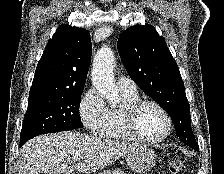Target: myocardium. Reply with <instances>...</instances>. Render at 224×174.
Wrapping results in <instances>:
<instances>
[{"instance_id": "1", "label": "myocardium", "mask_w": 224, "mask_h": 174, "mask_svg": "<svg viewBox=\"0 0 224 174\" xmlns=\"http://www.w3.org/2000/svg\"><path fill=\"white\" fill-rule=\"evenodd\" d=\"M153 106L164 116L167 129L165 133L157 138H149L140 133L137 127V116L144 106ZM122 123L127 133L135 140L145 143H160L166 140L172 132L173 123L169 113L158 102L149 99H138L135 102L125 106L121 112Z\"/></svg>"}]
</instances>
